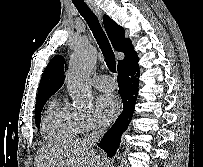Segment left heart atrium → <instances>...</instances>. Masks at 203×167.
Instances as JSON below:
<instances>
[{
  "mask_svg": "<svg viewBox=\"0 0 203 167\" xmlns=\"http://www.w3.org/2000/svg\"><path fill=\"white\" fill-rule=\"evenodd\" d=\"M96 107L100 118L108 122L114 119L119 113L121 102L114 94L106 93L97 99Z\"/></svg>",
  "mask_w": 203,
  "mask_h": 167,
  "instance_id": "1",
  "label": "left heart atrium"
}]
</instances>
